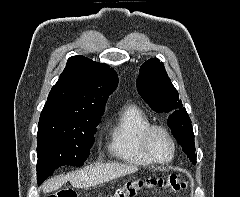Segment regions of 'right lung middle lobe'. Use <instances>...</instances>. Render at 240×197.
Returning <instances> with one entry per match:
<instances>
[{
  "mask_svg": "<svg viewBox=\"0 0 240 197\" xmlns=\"http://www.w3.org/2000/svg\"><path fill=\"white\" fill-rule=\"evenodd\" d=\"M100 119L40 117L37 134V180L42 183L63 165L82 166L94 143Z\"/></svg>",
  "mask_w": 240,
  "mask_h": 197,
  "instance_id": "right-lung-middle-lobe-1",
  "label": "right lung middle lobe"
}]
</instances>
